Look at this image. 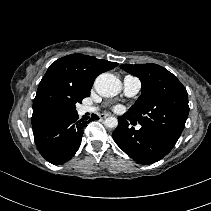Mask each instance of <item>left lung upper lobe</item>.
Instances as JSON below:
<instances>
[{"label": "left lung upper lobe", "instance_id": "left-lung-upper-lobe-1", "mask_svg": "<svg viewBox=\"0 0 211 211\" xmlns=\"http://www.w3.org/2000/svg\"><path fill=\"white\" fill-rule=\"evenodd\" d=\"M120 67L142 83V94L127 115L177 141L189 114L186 88L175 75L156 64H123Z\"/></svg>", "mask_w": 211, "mask_h": 211}]
</instances>
